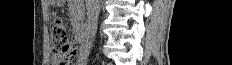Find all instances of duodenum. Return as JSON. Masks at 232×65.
I'll list each match as a JSON object with an SVG mask.
<instances>
[{
    "label": "duodenum",
    "mask_w": 232,
    "mask_h": 65,
    "mask_svg": "<svg viewBox=\"0 0 232 65\" xmlns=\"http://www.w3.org/2000/svg\"><path fill=\"white\" fill-rule=\"evenodd\" d=\"M78 42L80 43L81 51L83 52V54H86L88 52L90 43H89L88 34L85 30H81L79 32Z\"/></svg>",
    "instance_id": "obj_1"
}]
</instances>
